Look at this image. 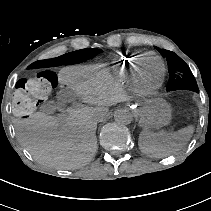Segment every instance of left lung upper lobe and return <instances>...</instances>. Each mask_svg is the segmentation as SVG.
<instances>
[{
    "label": "left lung upper lobe",
    "instance_id": "5c2ea615",
    "mask_svg": "<svg viewBox=\"0 0 211 211\" xmlns=\"http://www.w3.org/2000/svg\"><path fill=\"white\" fill-rule=\"evenodd\" d=\"M156 49L166 57L170 78L167 84V90L186 89L199 92L196 80L189 66L174 52L168 50Z\"/></svg>",
    "mask_w": 211,
    "mask_h": 211
}]
</instances>
